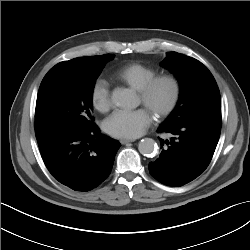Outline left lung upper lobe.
<instances>
[{
  "label": "left lung upper lobe",
  "instance_id": "obj_1",
  "mask_svg": "<svg viewBox=\"0 0 250 250\" xmlns=\"http://www.w3.org/2000/svg\"><path fill=\"white\" fill-rule=\"evenodd\" d=\"M161 65L173 72L180 83L179 101L162 125L176 126L189 118L221 112L218 86L205 65L176 52H167Z\"/></svg>",
  "mask_w": 250,
  "mask_h": 250
}]
</instances>
